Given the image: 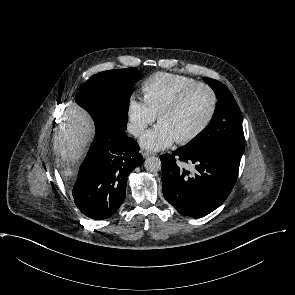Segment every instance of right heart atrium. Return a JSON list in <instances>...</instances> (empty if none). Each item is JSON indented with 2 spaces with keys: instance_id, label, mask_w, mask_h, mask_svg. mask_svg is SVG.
<instances>
[{
  "instance_id": "right-heart-atrium-1",
  "label": "right heart atrium",
  "mask_w": 295,
  "mask_h": 295,
  "mask_svg": "<svg viewBox=\"0 0 295 295\" xmlns=\"http://www.w3.org/2000/svg\"><path fill=\"white\" fill-rule=\"evenodd\" d=\"M128 130L134 136H140L151 125L157 115L145 99L131 96L127 103Z\"/></svg>"
}]
</instances>
